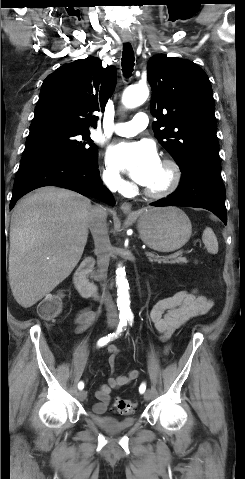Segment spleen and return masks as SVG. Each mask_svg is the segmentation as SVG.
Listing matches in <instances>:
<instances>
[{
	"label": "spleen",
	"mask_w": 245,
	"mask_h": 479,
	"mask_svg": "<svg viewBox=\"0 0 245 479\" xmlns=\"http://www.w3.org/2000/svg\"><path fill=\"white\" fill-rule=\"evenodd\" d=\"M202 240L209 253L217 254L218 241L213 230L210 227H206L203 231Z\"/></svg>",
	"instance_id": "obj_1"
}]
</instances>
